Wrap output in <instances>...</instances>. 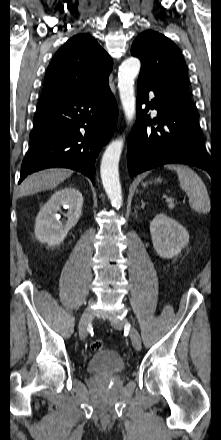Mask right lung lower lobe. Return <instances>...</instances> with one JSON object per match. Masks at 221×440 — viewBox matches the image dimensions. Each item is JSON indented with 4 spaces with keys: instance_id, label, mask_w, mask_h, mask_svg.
<instances>
[{
    "instance_id": "obj_1",
    "label": "right lung lower lobe",
    "mask_w": 221,
    "mask_h": 440,
    "mask_svg": "<svg viewBox=\"0 0 221 440\" xmlns=\"http://www.w3.org/2000/svg\"><path fill=\"white\" fill-rule=\"evenodd\" d=\"M117 117L110 87L95 94L39 102L19 183L33 172L66 167L88 176L94 184L96 157L110 140Z\"/></svg>"
}]
</instances>
